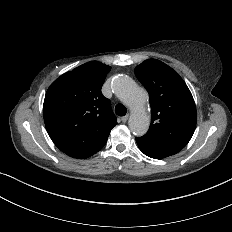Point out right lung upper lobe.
<instances>
[{
    "label": "right lung upper lobe",
    "instance_id": "right-lung-upper-lobe-1",
    "mask_svg": "<svg viewBox=\"0 0 232 232\" xmlns=\"http://www.w3.org/2000/svg\"><path fill=\"white\" fill-rule=\"evenodd\" d=\"M111 67L87 62L60 76L46 92L43 116L54 144L65 154L102 148L117 124L101 87Z\"/></svg>",
    "mask_w": 232,
    "mask_h": 232
}]
</instances>
